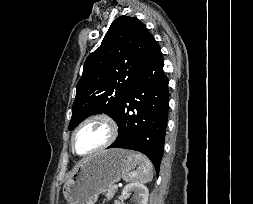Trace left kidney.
I'll return each mask as SVG.
<instances>
[{
  "instance_id": "1",
  "label": "left kidney",
  "mask_w": 253,
  "mask_h": 204,
  "mask_svg": "<svg viewBox=\"0 0 253 204\" xmlns=\"http://www.w3.org/2000/svg\"><path fill=\"white\" fill-rule=\"evenodd\" d=\"M134 192V198L136 204H147L149 191L148 188L139 182L127 184L122 190V197L127 198Z\"/></svg>"
}]
</instances>
